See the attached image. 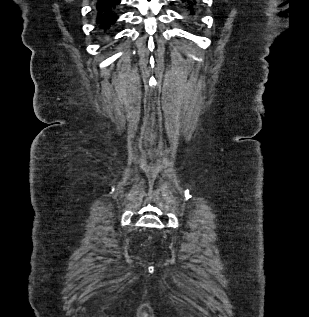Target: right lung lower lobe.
<instances>
[{
	"instance_id": "obj_1",
	"label": "right lung lower lobe",
	"mask_w": 309,
	"mask_h": 317,
	"mask_svg": "<svg viewBox=\"0 0 309 317\" xmlns=\"http://www.w3.org/2000/svg\"><path fill=\"white\" fill-rule=\"evenodd\" d=\"M120 0H98L97 11V24L100 34L107 36L113 31V27L118 19L116 10Z\"/></svg>"
}]
</instances>
